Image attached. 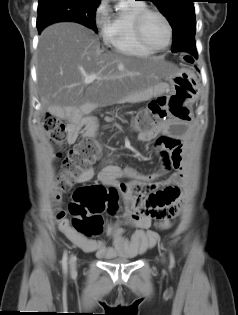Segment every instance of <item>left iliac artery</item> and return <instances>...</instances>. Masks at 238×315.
<instances>
[{
	"label": "left iliac artery",
	"instance_id": "obj_1",
	"mask_svg": "<svg viewBox=\"0 0 238 315\" xmlns=\"http://www.w3.org/2000/svg\"><path fill=\"white\" fill-rule=\"evenodd\" d=\"M175 264V259L172 253H170V266L173 267Z\"/></svg>",
	"mask_w": 238,
	"mask_h": 315
}]
</instances>
